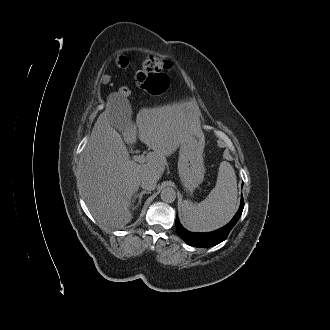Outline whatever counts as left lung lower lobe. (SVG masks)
Returning <instances> with one entry per match:
<instances>
[{
    "mask_svg": "<svg viewBox=\"0 0 330 330\" xmlns=\"http://www.w3.org/2000/svg\"><path fill=\"white\" fill-rule=\"evenodd\" d=\"M244 208V202L243 197H241V204L240 208L233 217V219L224 227L208 233H192L184 229L180 222L178 217H176V229L180 237L189 245L194 247H211L215 246L222 241H224L231 229L234 227V225L239 220L242 211Z\"/></svg>",
    "mask_w": 330,
    "mask_h": 330,
    "instance_id": "left-lung-lower-lobe-1",
    "label": "left lung lower lobe"
}]
</instances>
